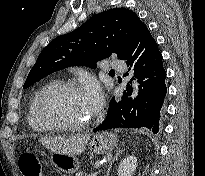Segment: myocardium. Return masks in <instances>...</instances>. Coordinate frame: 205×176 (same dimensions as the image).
Listing matches in <instances>:
<instances>
[{
	"label": "myocardium",
	"instance_id": "f54148a6",
	"mask_svg": "<svg viewBox=\"0 0 205 176\" xmlns=\"http://www.w3.org/2000/svg\"><path fill=\"white\" fill-rule=\"evenodd\" d=\"M60 92L75 93L77 92V87L72 83L59 82V83H54L49 87H47L45 90H43L36 98L33 106V116L35 121L40 126L45 127L47 129L60 130L66 132H77L89 126L92 122V116H89L87 120H85L84 122L78 125L63 124L58 121L49 120L43 117L42 115L43 103L51 96Z\"/></svg>",
	"mask_w": 205,
	"mask_h": 176
}]
</instances>
